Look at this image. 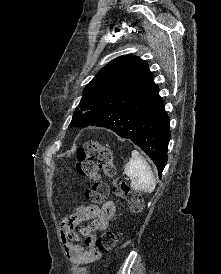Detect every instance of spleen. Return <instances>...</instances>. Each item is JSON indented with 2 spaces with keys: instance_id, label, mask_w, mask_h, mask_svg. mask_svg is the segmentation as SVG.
I'll use <instances>...</instances> for the list:
<instances>
[{
  "instance_id": "obj_1",
  "label": "spleen",
  "mask_w": 221,
  "mask_h": 274,
  "mask_svg": "<svg viewBox=\"0 0 221 274\" xmlns=\"http://www.w3.org/2000/svg\"><path fill=\"white\" fill-rule=\"evenodd\" d=\"M125 173L131 178L135 190L152 192L155 188V177L150 165L137 150H133L130 160L125 165Z\"/></svg>"
}]
</instances>
